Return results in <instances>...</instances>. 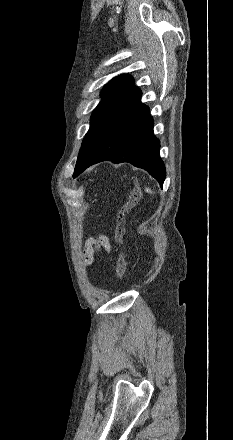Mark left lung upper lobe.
<instances>
[{
    "mask_svg": "<svg viewBox=\"0 0 233 440\" xmlns=\"http://www.w3.org/2000/svg\"><path fill=\"white\" fill-rule=\"evenodd\" d=\"M140 93L141 90L133 84V78L125 74L113 78L104 86L101 92L102 100L92 113L90 128L82 142L76 167L85 160L109 124Z\"/></svg>",
    "mask_w": 233,
    "mask_h": 440,
    "instance_id": "1",
    "label": "left lung upper lobe"
}]
</instances>
